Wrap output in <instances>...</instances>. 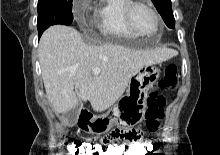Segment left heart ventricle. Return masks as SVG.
<instances>
[{
  "label": "left heart ventricle",
  "mask_w": 220,
  "mask_h": 155,
  "mask_svg": "<svg viewBox=\"0 0 220 155\" xmlns=\"http://www.w3.org/2000/svg\"><path fill=\"white\" fill-rule=\"evenodd\" d=\"M136 29L146 35H152L157 30V24L152 13L144 6H137L132 14Z\"/></svg>",
  "instance_id": "1"
}]
</instances>
